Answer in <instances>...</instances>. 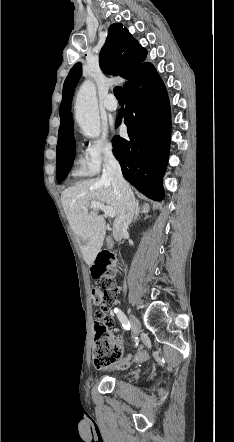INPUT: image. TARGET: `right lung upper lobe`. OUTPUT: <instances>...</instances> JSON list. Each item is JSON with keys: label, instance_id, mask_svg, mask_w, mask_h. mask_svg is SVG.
<instances>
[{"label": "right lung upper lobe", "instance_id": "right-lung-upper-lobe-1", "mask_svg": "<svg viewBox=\"0 0 234 442\" xmlns=\"http://www.w3.org/2000/svg\"><path fill=\"white\" fill-rule=\"evenodd\" d=\"M146 56V50L138 44L129 31L123 28L122 24L115 23L108 29L107 39L99 55V63L105 73L120 75L127 80L123 85L124 89L131 79L144 74L152 67V64L144 62ZM81 73V64L76 63L63 85L57 147L65 144L73 135L71 102Z\"/></svg>", "mask_w": 234, "mask_h": 442}]
</instances>
